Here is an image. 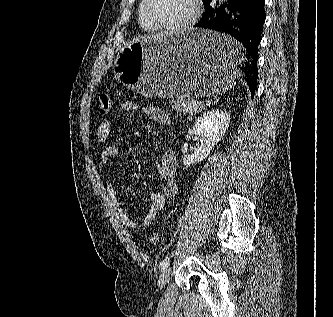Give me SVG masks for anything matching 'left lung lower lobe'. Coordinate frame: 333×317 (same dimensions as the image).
Listing matches in <instances>:
<instances>
[{
  "instance_id": "left-lung-lower-lobe-1",
  "label": "left lung lower lobe",
  "mask_w": 333,
  "mask_h": 317,
  "mask_svg": "<svg viewBox=\"0 0 333 317\" xmlns=\"http://www.w3.org/2000/svg\"><path fill=\"white\" fill-rule=\"evenodd\" d=\"M264 4L265 0H211L195 25L229 34L244 46L245 51H242L245 56L241 55L236 43L216 46L209 51L229 63L241 60L237 66L242 71L252 98L258 78V46L266 18Z\"/></svg>"
}]
</instances>
